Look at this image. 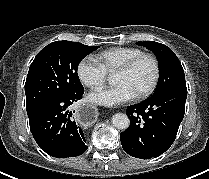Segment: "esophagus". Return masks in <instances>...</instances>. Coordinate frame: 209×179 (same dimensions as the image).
I'll return each instance as SVG.
<instances>
[{"label":"esophagus","mask_w":209,"mask_h":179,"mask_svg":"<svg viewBox=\"0 0 209 179\" xmlns=\"http://www.w3.org/2000/svg\"><path fill=\"white\" fill-rule=\"evenodd\" d=\"M75 117L81 125L89 126L97 120L98 112L92 104H81L76 109Z\"/></svg>","instance_id":"esophagus-1"}]
</instances>
